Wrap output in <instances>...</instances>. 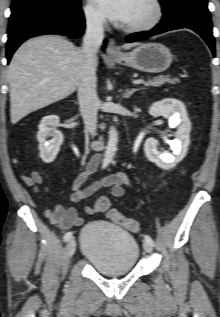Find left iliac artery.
I'll return each instance as SVG.
<instances>
[{
  "instance_id": "obj_1",
  "label": "left iliac artery",
  "mask_w": 220,
  "mask_h": 317,
  "mask_svg": "<svg viewBox=\"0 0 220 317\" xmlns=\"http://www.w3.org/2000/svg\"><path fill=\"white\" fill-rule=\"evenodd\" d=\"M145 241H147V242L150 243L152 246H154V241H153V239H152L149 235H146V236H145Z\"/></svg>"
}]
</instances>
